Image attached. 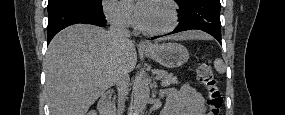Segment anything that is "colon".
Here are the masks:
<instances>
[{"label": "colon", "instance_id": "5ec220e1", "mask_svg": "<svg viewBox=\"0 0 285 115\" xmlns=\"http://www.w3.org/2000/svg\"><path fill=\"white\" fill-rule=\"evenodd\" d=\"M197 78L207 89V104L209 107L208 114H219L223 99L211 67L206 63L199 65L197 68ZM88 115H96V112L92 110Z\"/></svg>", "mask_w": 285, "mask_h": 115}]
</instances>
